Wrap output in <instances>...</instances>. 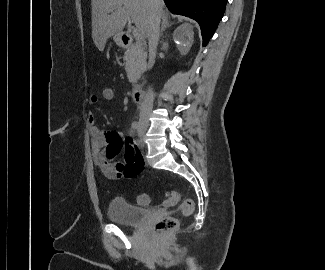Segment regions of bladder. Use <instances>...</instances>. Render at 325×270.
Wrapping results in <instances>:
<instances>
[{
	"mask_svg": "<svg viewBox=\"0 0 325 270\" xmlns=\"http://www.w3.org/2000/svg\"><path fill=\"white\" fill-rule=\"evenodd\" d=\"M150 215L149 209L136 206L121 197L113 198L108 206V219L129 227L141 226Z\"/></svg>",
	"mask_w": 325,
	"mask_h": 270,
	"instance_id": "obj_1",
	"label": "bladder"
}]
</instances>
